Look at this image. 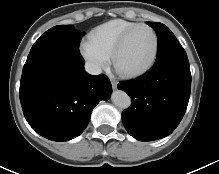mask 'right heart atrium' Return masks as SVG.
I'll use <instances>...</instances> for the list:
<instances>
[{
  "instance_id": "1",
  "label": "right heart atrium",
  "mask_w": 219,
  "mask_h": 174,
  "mask_svg": "<svg viewBox=\"0 0 219 174\" xmlns=\"http://www.w3.org/2000/svg\"><path fill=\"white\" fill-rule=\"evenodd\" d=\"M79 50L93 73H99L110 64V57L89 39L80 43Z\"/></svg>"
}]
</instances>
